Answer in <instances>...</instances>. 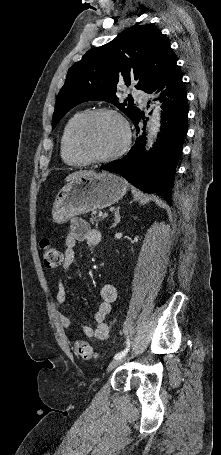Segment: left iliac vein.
<instances>
[{"label":"left iliac vein","mask_w":221,"mask_h":455,"mask_svg":"<svg viewBox=\"0 0 221 455\" xmlns=\"http://www.w3.org/2000/svg\"><path fill=\"white\" fill-rule=\"evenodd\" d=\"M124 361V358H120V359H114L112 362H110V364L108 365V368H107V371H111L112 369L116 368L117 366H119L122 362Z\"/></svg>","instance_id":"4c4485c4"}]
</instances>
